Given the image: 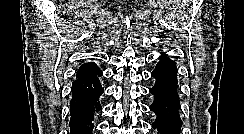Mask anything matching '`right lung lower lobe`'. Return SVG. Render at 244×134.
Wrapping results in <instances>:
<instances>
[{"mask_svg": "<svg viewBox=\"0 0 244 134\" xmlns=\"http://www.w3.org/2000/svg\"><path fill=\"white\" fill-rule=\"evenodd\" d=\"M100 76L76 79L72 83L71 134H92L94 114L101 110L99 97L103 94V88Z\"/></svg>", "mask_w": 244, "mask_h": 134, "instance_id": "obj_1", "label": "right lung lower lobe"}]
</instances>
